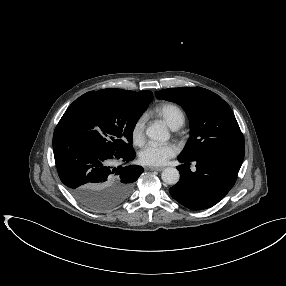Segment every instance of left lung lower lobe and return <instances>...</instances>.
<instances>
[{"label": "left lung lower lobe", "instance_id": "obj_1", "mask_svg": "<svg viewBox=\"0 0 286 286\" xmlns=\"http://www.w3.org/2000/svg\"><path fill=\"white\" fill-rule=\"evenodd\" d=\"M179 182L169 189L177 202L191 210L210 208L222 200L236 182L243 161L222 155H203L192 161L197 170L188 167L190 160L178 157Z\"/></svg>", "mask_w": 286, "mask_h": 286}]
</instances>
